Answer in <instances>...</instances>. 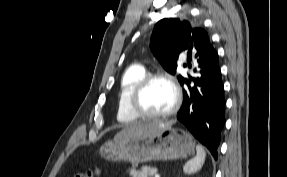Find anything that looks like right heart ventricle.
<instances>
[{
  "label": "right heart ventricle",
  "mask_w": 287,
  "mask_h": 177,
  "mask_svg": "<svg viewBox=\"0 0 287 177\" xmlns=\"http://www.w3.org/2000/svg\"><path fill=\"white\" fill-rule=\"evenodd\" d=\"M146 75L141 65L127 68L119 82L117 95V119L121 123H134L140 119L130 107V96L137 83Z\"/></svg>",
  "instance_id": "e07e8e85"
}]
</instances>
